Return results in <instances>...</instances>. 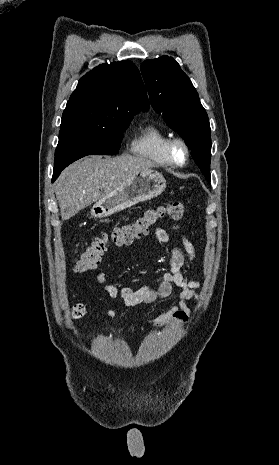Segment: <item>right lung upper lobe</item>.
<instances>
[{"label": "right lung upper lobe", "instance_id": "obj_1", "mask_svg": "<svg viewBox=\"0 0 279 465\" xmlns=\"http://www.w3.org/2000/svg\"><path fill=\"white\" fill-rule=\"evenodd\" d=\"M149 102L131 61L102 64L84 75L71 94L60 127L101 125L117 113L146 111Z\"/></svg>", "mask_w": 279, "mask_h": 465}]
</instances>
